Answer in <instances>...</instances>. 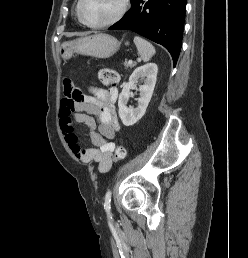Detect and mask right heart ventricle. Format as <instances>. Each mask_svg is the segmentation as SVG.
<instances>
[{"label": "right heart ventricle", "instance_id": "e07e8e85", "mask_svg": "<svg viewBox=\"0 0 248 258\" xmlns=\"http://www.w3.org/2000/svg\"><path fill=\"white\" fill-rule=\"evenodd\" d=\"M78 4V3H77ZM76 15H77V19L81 22V20L78 17V13H77V6H76Z\"/></svg>", "mask_w": 248, "mask_h": 258}]
</instances>
